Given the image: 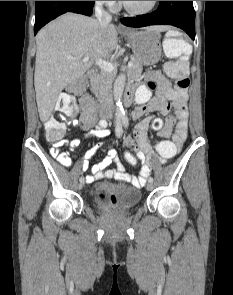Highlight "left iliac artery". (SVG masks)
<instances>
[{"mask_svg":"<svg viewBox=\"0 0 233 295\" xmlns=\"http://www.w3.org/2000/svg\"><path fill=\"white\" fill-rule=\"evenodd\" d=\"M122 122H123V125H124L125 128L128 127V118L127 117H123ZM148 181L153 183V178L149 177Z\"/></svg>","mask_w":233,"mask_h":295,"instance_id":"44dca946","label":"left iliac artery"}]
</instances>
